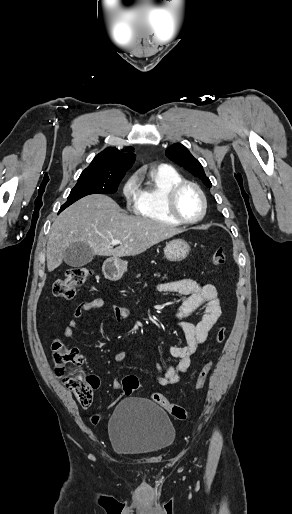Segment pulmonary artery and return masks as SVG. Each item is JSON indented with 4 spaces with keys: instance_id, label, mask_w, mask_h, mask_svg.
Returning a JSON list of instances; mask_svg holds the SVG:
<instances>
[{
    "instance_id": "e3ab8cb5",
    "label": "pulmonary artery",
    "mask_w": 292,
    "mask_h": 514,
    "mask_svg": "<svg viewBox=\"0 0 292 514\" xmlns=\"http://www.w3.org/2000/svg\"><path fill=\"white\" fill-rule=\"evenodd\" d=\"M160 168H161L162 170H167V169L169 168V165H168L167 163H162V164L160 165Z\"/></svg>"
}]
</instances>
